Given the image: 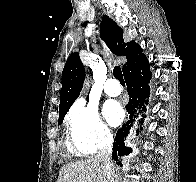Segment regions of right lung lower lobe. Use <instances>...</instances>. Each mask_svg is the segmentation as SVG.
I'll return each mask as SVG.
<instances>
[{"instance_id":"obj_1","label":"right lung lower lobe","mask_w":196,"mask_h":182,"mask_svg":"<svg viewBox=\"0 0 196 182\" xmlns=\"http://www.w3.org/2000/svg\"><path fill=\"white\" fill-rule=\"evenodd\" d=\"M125 82L127 84V91L129 94V102L126 105V110L129 113L130 120L123 124L122 128L118 130L113 144L112 159H114L118 166H122L120 157L128 155L132 149L125 146V140L129 133H131L132 121L136 118V112L141 111V124L145 118V110L148 105L150 93V79L151 72L149 62L144 56L132 67L124 73ZM139 132V130H137Z\"/></svg>"}]
</instances>
